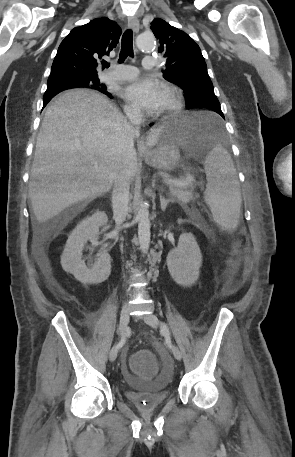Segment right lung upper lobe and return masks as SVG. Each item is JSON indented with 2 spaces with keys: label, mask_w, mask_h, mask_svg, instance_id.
Here are the masks:
<instances>
[{
  "label": "right lung upper lobe",
  "mask_w": 295,
  "mask_h": 457,
  "mask_svg": "<svg viewBox=\"0 0 295 457\" xmlns=\"http://www.w3.org/2000/svg\"><path fill=\"white\" fill-rule=\"evenodd\" d=\"M121 33L118 24L106 17L72 29L58 48L47 84H83L84 79L97 76V59L109 55Z\"/></svg>",
  "instance_id": "1"
}]
</instances>
